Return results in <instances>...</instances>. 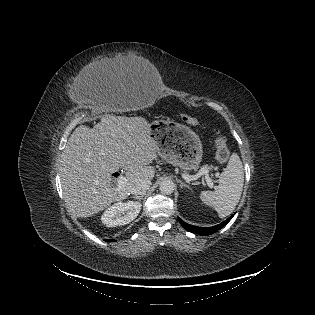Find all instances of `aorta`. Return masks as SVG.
Returning a JSON list of instances; mask_svg holds the SVG:
<instances>
[{"instance_id": "762f6f07", "label": "aorta", "mask_w": 315, "mask_h": 315, "mask_svg": "<svg viewBox=\"0 0 315 315\" xmlns=\"http://www.w3.org/2000/svg\"><path fill=\"white\" fill-rule=\"evenodd\" d=\"M159 190L164 194H171L174 191V183L170 180L162 181L159 185Z\"/></svg>"}]
</instances>
